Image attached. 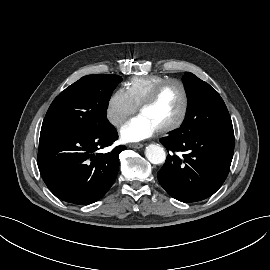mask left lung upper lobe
<instances>
[{"label": "left lung upper lobe", "mask_w": 270, "mask_h": 270, "mask_svg": "<svg viewBox=\"0 0 270 270\" xmlns=\"http://www.w3.org/2000/svg\"><path fill=\"white\" fill-rule=\"evenodd\" d=\"M183 82L189 94V106L183 124L174 130L176 134L182 136L189 130L233 131L227 107L215 89L192 73L185 74Z\"/></svg>", "instance_id": "obj_1"}]
</instances>
